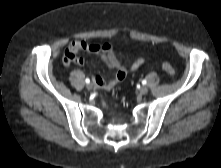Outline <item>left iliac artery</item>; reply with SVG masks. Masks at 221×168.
<instances>
[{
    "label": "left iliac artery",
    "instance_id": "left-iliac-artery-1",
    "mask_svg": "<svg viewBox=\"0 0 221 168\" xmlns=\"http://www.w3.org/2000/svg\"><path fill=\"white\" fill-rule=\"evenodd\" d=\"M147 81L146 80H142V84L146 85Z\"/></svg>",
    "mask_w": 221,
    "mask_h": 168
}]
</instances>
